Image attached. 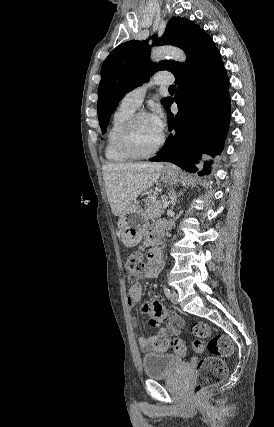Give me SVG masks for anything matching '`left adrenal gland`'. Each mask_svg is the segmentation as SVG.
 I'll list each match as a JSON object with an SVG mask.
<instances>
[{
	"label": "left adrenal gland",
	"mask_w": 274,
	"mask_h": 427,
	"mask_svg": "<svg viewBox=\"0 0 274 427\" xmlns=\"http://www.w3.org/2000/svg\"><path fill=\"white\" fill-rule=\"evenodd\" d=\"M169 198H170L171 210H173V208L177 202V200H176L177 194H175L174 190H170Z\"/></svg>",
	"instance_id": "1"
}]
</instances>
